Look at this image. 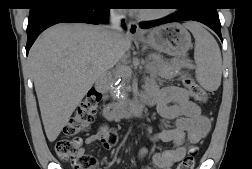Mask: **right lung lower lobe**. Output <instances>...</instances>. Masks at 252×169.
Segmentation results:
<instances>
[{"mask_svg": "<svg viewBox=\"0 0 252 169\" xmlns=\"http://www.w3.org/2000/svg\"><path fill=\"white\" fill-rule=\"evenodd\" d=\"M112 0H38L30 8L26 52L46 28L61 22L107 23Z\"/></svg>", "mask_w": 252, "mask_h": 169, "instance_id": "right-lung-lower-lobe-1", "label": "right lung lower lobe"}]
</instances>
